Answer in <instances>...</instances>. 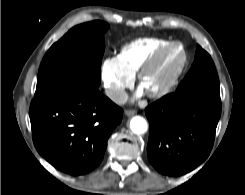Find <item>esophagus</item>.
Here are the masks:
<instances>
[{
    "label": "esophagus",
    "instance_id": "esophagus-1",
    "mask_svg": "<svg viewBox=\"0 0 245 195\" xmlns=\"http://www.w3.org/2000/svg\"><path fill=\"white\" fill-rule=\"evenodd\" d=\"M136 114V111L135 110H126L125 111V115L126 116H133Z\"/></svg>",
    "mask_w": 245,
    "mask_h": 195
}]
</instances>
